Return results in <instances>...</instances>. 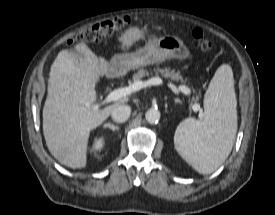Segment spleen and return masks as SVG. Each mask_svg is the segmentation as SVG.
<instances>
[{"label": "spleen", "mask_w": 275, "mask_h": 215, "mask_svg": "<svg viewBox=\"0 0 275 215\" xmlns=\"http://www.w3.org/2000/svg\"><path fill=\"white\" fill-rule=\"evenodd\" d=\"M201 119L187 118L177 127L178 153L200 174H210L230 154L237 131V101L232 68L221 65L204 96Z\"/></svg>", "instance_id": "spleen-1"}]
</instances>
